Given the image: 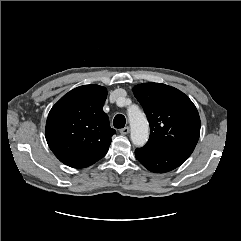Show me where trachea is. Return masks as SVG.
I'll return each instance as SVG.
<instances>
[{
    "label": "trachea",
    "mask_w": 241,
    "mask_h": 241,
    "mask_svg": "<svg viewBox=\"0 0 241 241\" xmlns=\"http://www.w3.org/2000/svg\"><path fill=\"white\" fill-rule=\"evenodd\" d=\"M126 119L122 114H117L113 120L115 128H123L125 126Z\"/></svg>",
    "instance_id": "obj_1"
}]
</instances>
